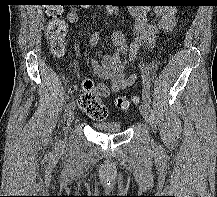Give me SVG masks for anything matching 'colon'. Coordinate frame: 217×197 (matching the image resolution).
<instances>
[{
    "instance_id": "1",
    "label": "colon",
    "mask_w": 217,
    "mask_h": 197,
    "mask_svg": "<svg viewBox=\"0 0 217 197\" xmlns=\"http://www.w3.org/2000/svg\"><path fill=\"white\" fill-rule=\"evenodd\" d=\"M44 10L49 17V23L46 29V36L49 42L51 53L59 57L64 53L68 26L63 19V4L61 0H46ZM108 93V88L101 83L87 79L83 82V92L78 99V105L82 111L95 121H103L108 110L102 102V98ZM137 103L138 98H133ZM115 105L120 110H127L130 106V100L127 97H118Z\"/></svg>"
}]
</instances>
